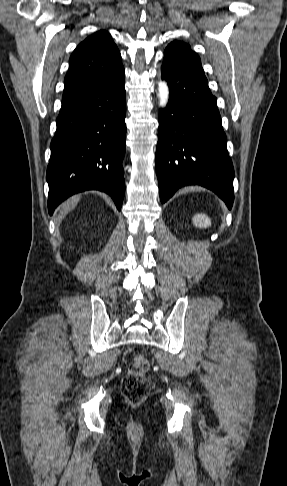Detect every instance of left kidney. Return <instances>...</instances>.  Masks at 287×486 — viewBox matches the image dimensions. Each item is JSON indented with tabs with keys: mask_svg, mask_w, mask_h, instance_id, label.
<instances>
[{
	"mask_svg": "<svg viewBox=\"0 0 287 486\" xmlns=\"http://www.w3.org/2000/svg\"><path fill=\"white\" fill-rule=\"evenodd\" d=\"M193 225L199 228H207L211 226V219L205 214H196L192 218Z\"/></svg>",
	"mask_w": 287,
	"mask_h": 486,
	"instance_id": "5707ae66",
	"label": "left kidney"
}]
</instances>
